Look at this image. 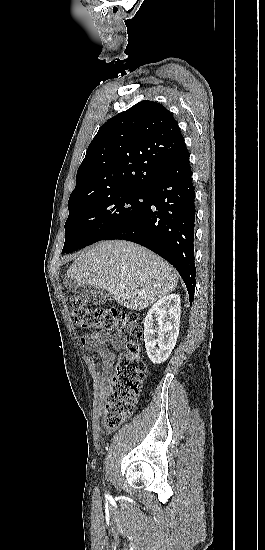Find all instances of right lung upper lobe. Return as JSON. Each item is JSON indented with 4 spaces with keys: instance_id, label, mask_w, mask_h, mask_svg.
<instances>
[{
    "instance_id": "1",
    "label": "right lung upper lobe",
    "mask_w": 265,
    "mask_h": 550,
    "mask_svg": "<svg viewBox=\"0 0 265 550\" xmlns=\"http://www.w3.org/2000/svg\"><path fill=\"white\" fill-rule=\"evenodd\" d=\"M186 150L172 114L160 103L141 101L99 129L77 171L69 202L148 189Z\"/></svg>"
}]
</instances>
